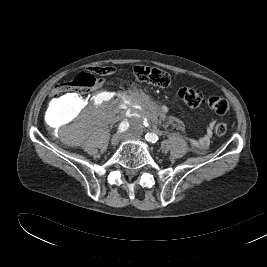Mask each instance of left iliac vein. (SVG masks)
Segmentation results:
<instances>
[{
  "mask_svg": "<svg viewBox=\"0 0 267 267\" xmlns=\"http://www.w3.org/2000/svg\"><path fill=\"white\" fill-rule=\"evenodd\" d=\"M127 138L140 140V138H139L136 134H134V133H130V134H128V135H127Z\"/></svg>",
  "mask_w": 267,
  "mask_h": 267,
  "instance_id": "1",
  "label": "left iliac vein"
}]
</instances>
